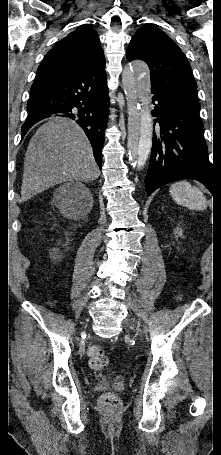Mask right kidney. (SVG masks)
Returning <instances> with one entry per match:
<instances>
[{
	"label": "right kidney",
	"mask_w": 221,
	"mask_h": 455,
	"mask_svg": "<svg viewBox=\"0 0 221 455\" xmlns=\"http://www.w3.org/2000/svg\"><path fill=\"white\" fill-rule=\"evenodd\" d=\"M57 254V251L56 250H53V255H56Z\"/></svg>",
	"instance_id": "obj_1"
}]
</instances>
